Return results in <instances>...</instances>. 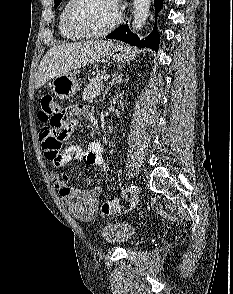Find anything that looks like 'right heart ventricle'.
I'll list each match as a JSON object with an SVG mask.
<instances>
[{
	"instance_id": "right-heart-ventricle-1",
	"label": "right heart ventricle",
	"mask_w": 233,
	"mask_h": 294,
	"mask_svg": "<svg viewBox=\"0 0 233 294\" xmlns=\"http://www.w3.org/2000/svg\"><path fill=\"white\" fill-rule=\"evenodd\" d=\"M71 4V0H67L61 8L58 18V29L60 35L66 40H78L80 37L75 35L67 26L66 14Z\"/></svg>"
}]
</instances>
